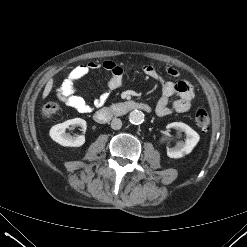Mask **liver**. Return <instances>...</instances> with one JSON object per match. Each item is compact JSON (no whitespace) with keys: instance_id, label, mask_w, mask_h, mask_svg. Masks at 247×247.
<instances>
[{"instance_id":"obj_1","label":"liver","mask_w":247,"mask_h":247,"mask_svg":"<svg viewBox=\"0 0 247 247\" xmlns=\"http://www.w3.org/2000/svg\"><path fill=\"white\" fill-rule=\"evenodd\" d=\"M52 87H53V79L51 78V79H49V81L47 82V84H46V86L44 88V91H43V94H42V98L43 99H45L49 95Z\"/></svg>"}]
</instances>
